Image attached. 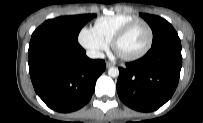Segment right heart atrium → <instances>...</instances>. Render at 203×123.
Listing matches in <instances>:
<instances>
[{"label": "right heart atrium", "mask_w": 203, "mask_h": 123, "mask_svg": "<svg viewBox=\"0 0 203 123\" xmlns=\"http://www.w3.org/2000/svg\"><path fill=\"white\" fill-rule=\"evenodd\" d=\"M78 41L94 57H101L109 47V43L90 27H83L80 30Z\"/></svg>", "instance_id": "1"}]
</instances>
